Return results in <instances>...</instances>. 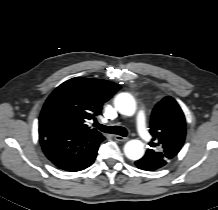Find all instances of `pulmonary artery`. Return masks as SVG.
Masks as SVG:
<instances>
[{"label": "pulmonary artery", "mask_w": 218, "mask_h": 210, "mask_svg": "<svg viewBox=\"0 0 218 210\" xmlns=\"http://www.w3.org/2000/svg\"><path fill=\"white\" fill-rule=\"evenodd\" d=\"M136 127L141 138L144 139L145 141H149L150 134L148 133L146 128L145 113L142 109L139 110L136 115Z\"/></svg>", "instance_id": "e3ab8cb5"}]
</instances>
